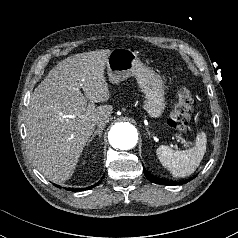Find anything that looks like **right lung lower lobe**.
<instances>
[{
	"mask_svg": "<svg viewBox=\"0 0 238 238\" xmlns=\"http://www.w3.org/2000/svg\"><path fill=\"white\" fill-rule=\"evenodd\" d=\"M99 183H100V182H98L97 184L92 185V186H90V187H87L86 189H87V190H88V189H91V188L97 186ZM55 186H57V187L60 188V186H58V185H55ZM66 190H72L73 192H76V191H82L83 189H82V188H75V189L66 188Z\"/></svg>",
	"mask_w": 238,
	"mask_h": 238,
	"instance_id": "right-lung-lower-lobe-1",
	"label": "right lung lower lobe"
}]
</instances>
